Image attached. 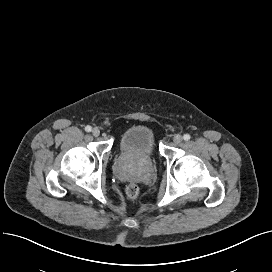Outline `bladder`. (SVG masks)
Listing matches in <instances>:
<instances>
[{"label": "bladder", "mask_w": 272, "mask_h": 272, "mask_svg": "<svg viewBox=\"0 0 272 272\" xmlns=\"http://www.w3.org/2000/svg\"><path fill=\"white\" fill-rule=\"evenodd\" d=\"M121 151L150 158L156 151V133L146 125H134L128 128L119 139Z\"/></svg>", "instance_id": "31cf9c89"}]
</instances>
